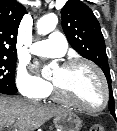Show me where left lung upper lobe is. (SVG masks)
I'll use <instances>...</instances> for the list:
<instances>
[{"mask_svg": "<svg viewBox=\"0 0 117 131\" xmlns=\"http://www.w3.org/2000/svg\"><path fill=\"white\" fill-rule=\"evenodd\" d=\"M61 16L62 28L70 45L105 73L110 92L109 109L117 121L105 42L98 20L92 10L80 0H68L61 10Z\"/></svg>", "mask_w": 117, "mask_h": 131, "instance_id": "5c2ea615", "label": "left lung upper lobe"}]
</instances>
